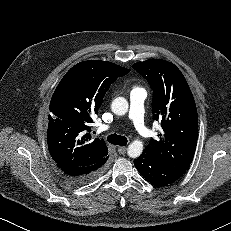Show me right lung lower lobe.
<instances>
[{
    "instance_id": "obj_1",
    "label": "right lung lower lobe",
    "mask_w": 231,
    "mask_h": 231,
    "mask_svg": "<svg viewBox=\"0 0 231 231\" xmlns=\"http://www.w3.org/2000/svg\"><path fill=\"white\" fill-rule=\"evenodd\" d=\"M109 156L104 160L91 166H64L57 164L64 178L73 185H85L94 181L103 171L104 164Z\"/></svg>"
}]
</instances>
